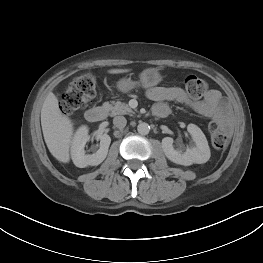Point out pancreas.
Returning a JSON list of instances; mask_svg holds the SVG:
<instances>
[{
    "label": "pancreas",
    "mask_w": 263,
    "mask_h": 263,
    "mask_svg": "<svg viewBox=\"0 0 263 263\" xmlns=\"http://www.w3.org/2000/svg\"><path fill=\"white\" fill-rule=\"evenodd\" d=\"M103 108L107 109L110 116L120 115V114H133V110L121 101L112 102V104L105 102Z\"/></svg>",
    "instance_id": "pancreas-1"
}]
</instances>
